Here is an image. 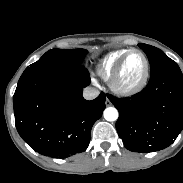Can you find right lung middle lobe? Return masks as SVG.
<instances>
[{"mask_svg": "<svg viewBox=\"0 0 183 183\" xmlns=\"http://www.w3.org/2000/svg\"><path fill=\"white\" fill-rule=\"evenodd\" d=\"M86 54L87 50L84 49H51L37 62L27 67L23 73L39 72L62 66L81 64Z\"/></svg>", "mask_w": 183, "mask_h": 183, "instance_id": "1", "label": "right lung middle lobe"}]
</instances>
